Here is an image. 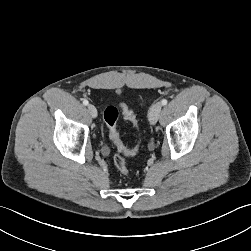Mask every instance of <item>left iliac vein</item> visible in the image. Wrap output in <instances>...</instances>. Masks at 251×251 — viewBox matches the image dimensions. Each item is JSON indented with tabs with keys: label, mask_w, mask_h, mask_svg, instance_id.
<instances>
[{
	"label": "left iliac vein",
	"mask_w": 251,
	"mask_h": 251,
	"mask_svg": "<svg viewBox=\"0 0 251 251\" xmlns=\"http://www.w3.org/2000/svg\"><path fill=\"white\" fill-rule=\"evenodd\" d=\"M162 109L161 103H155L152 105L149 111V121L152 125L156 124L158 118L160 116V112Z\"/></svg>",
	"instance_id": "1"
}]
</instances>
